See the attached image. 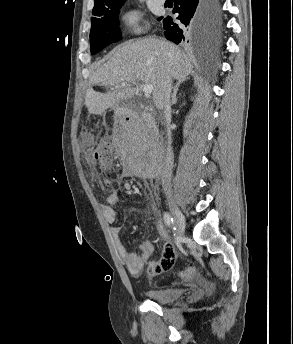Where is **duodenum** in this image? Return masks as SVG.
<instances>
[{"label": "duodenum", "instance_id": "obj_1", "mask_svg": "<svg viewBox=\"0 0 293 344\" xmlns=\"http://www.w3.org/2000/svg\"><path fill=\"white\" fill-rule=\"evenodd\" d=\"M143 120L145 121V123L148 127H150V128L153 127L154 121L150 116L144 115ZM136 121H137V117L133 114H125L123 112L119 113V116H118V123L119 124L133 123Z\"/></svg>", "mask_w": 293, "mask_h": 344}]
</instances>
